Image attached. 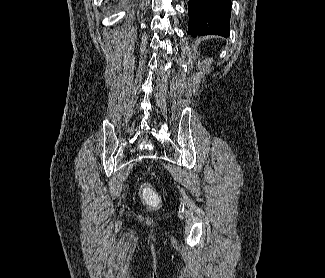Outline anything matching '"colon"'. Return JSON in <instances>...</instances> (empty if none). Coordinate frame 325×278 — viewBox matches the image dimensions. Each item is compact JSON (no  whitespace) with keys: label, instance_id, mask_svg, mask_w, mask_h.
Returning a JSON list of instances; mask_svg holds the SVG:
<instances>
[{"label":"colon","instance_id":"colon-1","mask_svg":"<svg viewBox=\"0 0 325 278\" xmlns=\"http://www.w3.org/2000/svg\"><path fill=\"white\" fill-rule=\"evenodd\" d=\"M142 195L147 203L151 205L158 203V195L149 185L142 186Z\"/></svg>","mask_w":325,"mask_h":278}]
</instances>
